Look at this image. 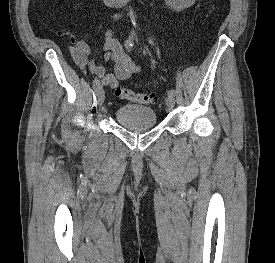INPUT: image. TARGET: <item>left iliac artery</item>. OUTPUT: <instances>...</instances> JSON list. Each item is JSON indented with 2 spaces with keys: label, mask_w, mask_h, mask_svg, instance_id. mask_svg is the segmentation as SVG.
<instances>
[{
  "label": "left iliac artery",
  "mask_w": 275,
  "mask_h": 263,
  "mask_svg": "<svg viewBox=\"0 0 275 263\" xmlns=\"http://www.w3.org/2000/svg\"><path fill=\"white\" fill-rule=\"evenodd\" d=\"M168 95L175 96V91L173 89L169 90L168 91Z\"/></svg>",
  "instance_id": "left-iliac-artery-1"
}]
</instances>
